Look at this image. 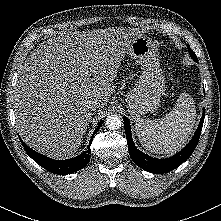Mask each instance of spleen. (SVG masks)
Returning <instances> with one entry per match:
<instances>
[{
    "instance_id": "obj_1",
    "label": "spleen",
    "mask_w": 221,
    "mask_h": 221,
    "mask_svg": "<svg viewBox=\"0 0 221 221\" xmlns=\"http://www.w3.org/2000/svg\"><path fill=\"white\" fill-rule=\"evenodd\" d=\"M196 118L193 98L182 93L176 106L165 117L153 120L136 119L135 131L147 150L173 154L184 146L191 135Z\"/></svg>"
}]
</instances>
